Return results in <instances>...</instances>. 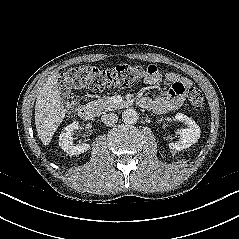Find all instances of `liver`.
<instances>
[{
  "instance_id": "1",
  "label": "liver",
  "mask_w": 239,
  "mask_h": 239,
  "mask_svg": "<svg viewBox=\"0 0 239 239\" xmlns=\"http://www.w3.org/2000/svg\"><path fill=\"white\" fill-rule=\"evenodd\" d=\"M58 77L59 72L55 71L47 78L35 104V125L39 139L44 145L51 142L66 113L57 86Z\"/></svg>"
}]
</instances>
